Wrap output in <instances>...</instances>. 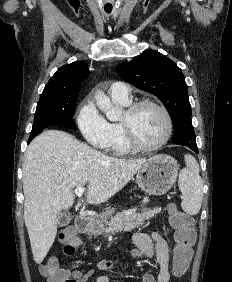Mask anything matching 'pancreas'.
Wrapping results in <instances>:
<instances>
[{
	"label": "pancreas",
	"instance_id": "1",
	"mask_svg": "<svg viewBox=\"0 0 232 282\" xmlns=\"http://www.w3.org/2000/svg\"><path fill=\"white\" fill-rule=\"evenodd\" d=\"M161 212V208L146 209L141 213L131 212L128 214L117 213L110 220H105L104 233H114L119 231H129L144 225L145 221L153 218L156 214Z\"/></svg>",
	"mask_w": 232,
	"mask_h": 282
}]
</instances>
